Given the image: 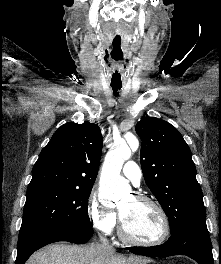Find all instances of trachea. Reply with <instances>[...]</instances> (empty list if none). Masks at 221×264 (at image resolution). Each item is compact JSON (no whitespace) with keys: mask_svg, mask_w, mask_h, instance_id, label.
Here are the masks:
<instances>
[{"mask_svg":"<svg viewBox=\"0 0 221 264\" xmlns=\"http://www.w3.org/2000/svg\"><path fill=\"white\" fill-rule=\"evenodd\" d=\"M111 87H112L114 95L118 96V94H119L118 91L121 89L122 86L121 85H111Z\"/></svg>","mask_w":221,"mask_h":264,"instance_id":"obj_1","label":"trachea"}]
</instances>
